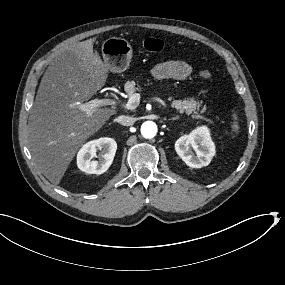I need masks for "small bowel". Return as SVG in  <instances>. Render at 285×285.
Wrapping results in <instances>:
<instances>
[{"label":"small bowel","mask_w":285,"mask_h":285,"mask_svg":"<svg viewBox=\"0 0 285 285\" xmlns=\"http://www.w3.org/2000/svg\"><path fill=\"white\" fill-rule=\"evenodd\" d=\"M191 72L192 69L187 63L176 59H167L153 68L152 75L159 80H185Z\"/></svg>","instance_id":"small-bowel-1"}]
</instances>
